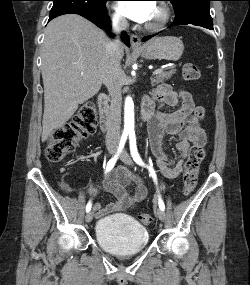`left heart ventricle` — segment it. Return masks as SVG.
Segmentation results:
<instances>
[{"label": "left heart ventricle", "mask_w": 250, "mask_h": 285, "mask_svg": "<svg viewBox=\"0 0 250 285\" xmlns=\"http://www.w3.org/2000/svg\"><path fill=\"white\" fill-rule=\"evenodd\" d=\"M159 15H160L159 10H158V8L155 6L154 9H153V12H152V14H151V17H150V19L148 20V23L156 22V21L158 20V18H159Z\"/></svg>", "instance_id": "1"}]
</instances>
